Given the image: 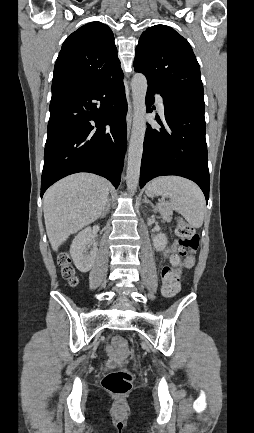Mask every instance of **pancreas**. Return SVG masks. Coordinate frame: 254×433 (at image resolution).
<instances>
[{
  "instance_id": "pancreas-1",
  "label": "pancreas",
  "mask_w": 254,
  "mask_h": 433,
  "mask_svg": "<svg viewBox=\"0 0 254 433\" xmlns=\"http://www.w3.org/2000/svg\"><path fill=\"white\" fill-rule=\"evenodd\" d=\"M155 210L159 211L164 220H171L173 215V210L171 206L167 204H159Z\"/></svg>"
}]
</instances>
